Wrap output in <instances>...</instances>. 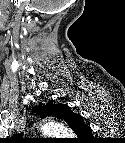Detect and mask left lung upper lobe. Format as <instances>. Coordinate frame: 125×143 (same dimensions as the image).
<instances>
[{
  "instance_id": "1",
  "label": "left lung upper lobe",
  "mask_w": 125,
  "mask_h": 143,
  "mask_svg": "<svg viewBox=\"0 0 125 143\" xmlns=\"http://www.w3.org/2000/svg\"><path fill=\"white\" fill-rule=\"evenodd\" d=\"M42 105V103H41ZM66 105L64 104H52V101H50L49 104H43L42 107L35 106L33 108V112H36L37 115H39L41 118L46 117H57L58 119L64 120V117L66 115ZM71 129L76 133L77 136H82V134H88V132L91 131V128H89L84 121L75 123L71 126ZM18 137L19 136H14Z\"/></svg>"
}]
</instances>
